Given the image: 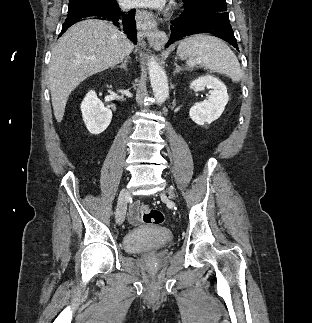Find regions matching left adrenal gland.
<instances>
[{"instance_id": "left-adrenal-gland-1", "label": "left adrenal gland", "mask_w": 312, "mask_h": 323, "mask_svg": "<svg viewBox=\"0 0 312 323\" xmlns=\"http://www.w3.org/2000/svg\"><path fill=\"white\" fill-rule=\"evenodd\" d=\"M174 66L176 68L175 72H173V74H176V72H180L181 68L180 66H178V64H176V62H174Z\"/></svg>"}]
</instances>
